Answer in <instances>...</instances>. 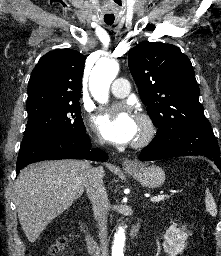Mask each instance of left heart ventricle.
<instances>
[{"mask_svg":"<svg viewBox=\"0 0 221 256\" xmlns=\"http://www.w3.org/2000/svg\"><path fill=\"white\" fill-rule=\"evenodd\" d=\"M138 124H139V130H138V134H137L136 137H138L141 134V132H142V125L140 124L139 121H138Z\"/></svg>","mask_w":221,"mask_h":256,"instance_id":"b2bd125f","label":"left heart ventricle"}]
</instances>
